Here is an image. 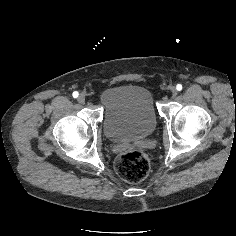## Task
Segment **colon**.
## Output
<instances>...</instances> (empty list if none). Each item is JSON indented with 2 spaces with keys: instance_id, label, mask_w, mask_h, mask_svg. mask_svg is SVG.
Masks as SVG:
<instances>
[{
  "instance_id": "obj_1",
  "label": "colon",
  "mask_w": 236,
  "mask_h": 236,
  "mask_svg": "<svg viewBox=\"0 0 236 236\" xmlns=\"http://www.w3.org/2000/svg\"><path fill=\"white\" fill-rule=\"evenodd\" d=\"M115 170L123 180L138 183L145 179L149 173V159L141 151L125 152L117 158Z\"/></svg>"
}]
</instances>
